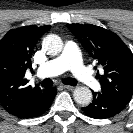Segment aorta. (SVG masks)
Here are the masks:
<instances>
[{
	"mask_svg": "<svg viewBox=\"0 0 133 133\" xmlns=\"http://www.w3.org/2000/svg\"><path fill=\"white\" fill-rule=\"evenodd\" d=\"M45 52L49 55H57L62 51L63 42L61 38L55 34L47 35L42 42ZM76 103L86 106L92 101V92L88 87H77L73 92Z\"/></svg>",
	"mask_w": 133,
	"mask_h": 133,
	"instance_id": "762f6f07",
	"label": "aorta"
}]
</instances>
